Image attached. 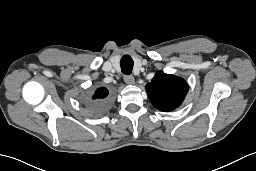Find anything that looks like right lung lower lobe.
I'll list each match as a JSON object with an SVG mask.
<instances>
[{
    "label": "right lung lower lobe",
    "mask_w": 256,
    "mask_h": 171,
    "mask_svg": "<svg viewBox=\"0 0 256 171\" xmlns=\"http://www.w3.org/2000/svg\"><path fill=\"white\" fill-rule=\"evenodd\" d=\"M107 104H108L107 100H103L98 102L97 104L90 106V108L92 109V113L99 114L104 112L107 108Z\"/></svg>",
    "instance_id": "obj_1"
}]
</instances>
